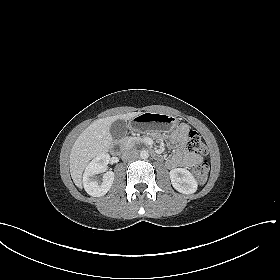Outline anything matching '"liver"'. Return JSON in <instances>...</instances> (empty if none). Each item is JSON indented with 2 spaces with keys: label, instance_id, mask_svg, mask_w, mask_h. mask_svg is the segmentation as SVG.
<instances>
[{
  "label": "liver",
  "instance_id": "1",
  "mask_svg": "<svg viewBox=\"0 0 280 280\" xmlns=\"http://www.w3.org/2000/svg\"><path fill=\"white\" fill-rule=\"evenodd\" d=\"M141 112L110 116L92 122L76 139L70 152V173L75 185L82 188V174L89 161L107 153L113 138L110 126L118 119L131 120Z\"/></svg>",
  "mask_w": 280,
  "mask_h": 280
}]
</instances>
